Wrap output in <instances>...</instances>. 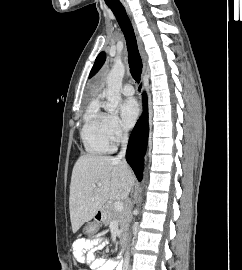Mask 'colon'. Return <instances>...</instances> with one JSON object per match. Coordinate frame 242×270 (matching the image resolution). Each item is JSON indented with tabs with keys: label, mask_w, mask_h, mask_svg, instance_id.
<instances>
[{
	"label": "colon",
	"mask_w": 242,
	"mask_h": 270,
	"mask_svg": "<svg viewBox=\"0 0 242 270\" xmlns=\"http://www.w3.org/2000/svg\"><path fill=\"white\" fill-rule=\"evenodd\" d=\"M78 270H86V269H84V268H79Z\"/></svg>",
	"instance_id": "5ec220e1"
}]
</instances>
